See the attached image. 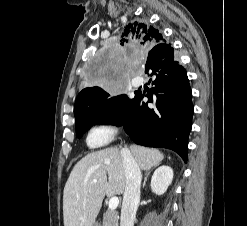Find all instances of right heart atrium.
Listing matches in <instances>:
<instances>
[{
	"label": "right heart atrium",
	"instance_id": "obj_1",
	"mask_svg": "<svg viewBox=\"0 0 247 226\" xmlns=\"http://www.w3.org/2000/svg\"><path fill=\"white\" fill-rule=\"evenodd\" d=\"M120 122L116 115L106 114L91 128L87 143L91 147H103L111 143L120 131Z\"/></svg>",
	"mask_w": 247,
	"mask_h": 226
}]
</instances>
